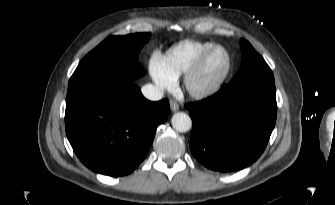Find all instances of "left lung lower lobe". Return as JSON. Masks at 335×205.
Masks as SVG:
<instances>
[{"instance_id": "1", "label": "left lung lower lobe", "mask_w": 335, "mask_h": 205, "mask_svg": "<svg viewBox=\"0 0 335 205\" xmlns=\"http://www.w3.org/2000/svg\"><path fill=\"white\" fill-rule=\"evenodd\" d=\"M185 107L193 120V156L208 169L238 171L255 162L267 146L276 123V88L260 80L230 82Z\"/></svg>"}]
</instances>
